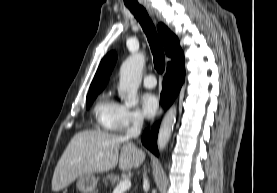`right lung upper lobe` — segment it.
Returning a JSON list of instances; mask_svg holds the SVG:
<instances>
[{"label":"right lung upper lobe","mask_w":277,"mask_h":193,"mask_svg":"<svg viewBox=\"0 0 277 193\" xmlns=\"http://www.w3.org/2000/svg\"><path fill=\"white\" fill-rule=\"evenodd\" d=\"M158 32L164 44L166 55L171 57L172 61L181 57L183 52L181 50L178 38L162 23L158 24ZM116 60L117 55L114 52L108 53L102 59L91 83L88 94L100 92L106 86Z\"/></svg>","instance_id":"right-lung-upper-lobe-1"}]
</instances>
